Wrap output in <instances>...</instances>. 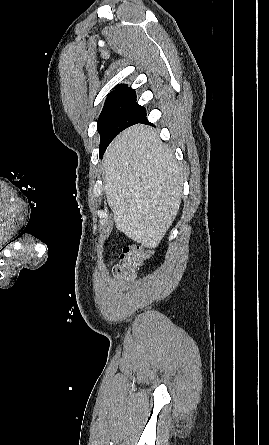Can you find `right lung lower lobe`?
I'll return each instance as SVG.
<instances>
[{
    "label": "right lung lower lobe",
    "mask_w": 269,
    "mask_h": 445,
    "mask_svg": "<svg viewBox=\"0 0 269 445\" xmlns=\"http://www.w3.org/2000/svg\"><path fill=\"white\" fill-rule=\"evenodd\" d=\"M138 123H148L149 124V122L146 118V115Z\"/></svg>",
    "instance_id": "obj_1"
}]
</instances>
